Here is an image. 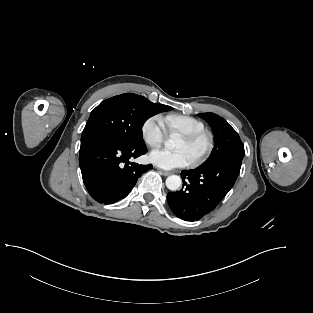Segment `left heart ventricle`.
Here are the masks:
<instances>
[{
  "label": "left heart ventricle",
  "mask_w": 313,
  "mask_h": 313,
  "mask_svg": "<svg viewBox=\"0 0 313 313\" xmlns=\"http://www.w3.org/2000/svg\"><path fill=\"white\" fill-rule=\"evenodd\" d=\"M205 145H206L205 140H200L194 144H189L181 138L176 145V149L184 150L185 152H187L192 161L204 150Z\"/></svg>",
  "instance_id": "obj_1"
}]
</instances>
